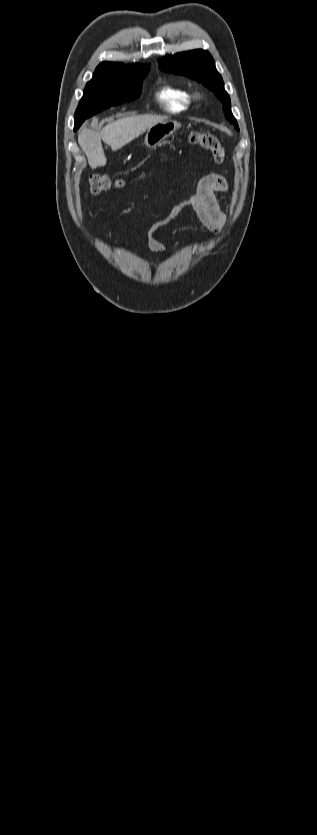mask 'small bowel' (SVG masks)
Returning a JSON list of instances; mask_svg holds the SVG:
<instances>
[{
	"mask_svg": "<svg viewBox=\"0 0 317 835\" xmlns=\"http://www.w3.org/2000/svg\"><path fill=\"white\" fill-rule=\"evenodd\" d=\"M228 190L227 178L221 174L209 173L201 177L188 203L175 206L167 216L152 225L149 231V248L154 252L169 255L166 246L157 238L156 233L161 227L177 218L187 205L192 208L201 224L209 232L219 233L225 225L226 216L218 204L216 192Z\"/></svg>",
	"mask_w": 317,
	"mask_h": 835,
	"instance_id": "obj_1",
	"label": "small bowel"
}]
</instances>
